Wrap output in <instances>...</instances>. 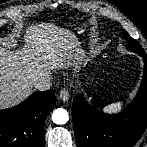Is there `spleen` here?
<instances>
[{"label": "spleen", "instance_id": "spleen-1", "mask_svg": "<svg viewBox=\"0 0 147 147\" xmlns=\"http://www.w3.org/2000/svg\"><path fill=\"white\" fill-rule=\"evenodd\" d=\"M122 107H123V103L122 102H116V103H112L110 105L105 106L104 107V111L109 112V113H116Z\"/></svg>", "mask_w": 147, "mask_h": 147}]
</instances>
